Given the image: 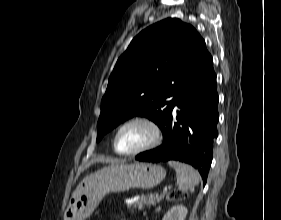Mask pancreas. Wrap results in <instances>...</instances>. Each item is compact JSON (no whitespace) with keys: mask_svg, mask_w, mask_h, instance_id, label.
<instances>
[{"mask_svg":"<svg viewBox=\"0 0 281 220\" xmlns=\"http://www.w3.org/2000/svg\"><path fill=\"white\" fill-rule=\"evenodd\" d=\"M164 197H167V192H163L161 194H149L147 196H142L140 199L136 200L133 203H127V208L131 211L133 209L138 208L139 210H142L144 206L151 207L156 205V203H159Z\"/></svg>","mask_w":281,"mask_h":220,"instance_id":"pancreas-1","label":"pancreas"}]
</instances>
